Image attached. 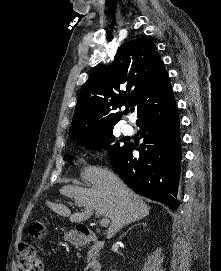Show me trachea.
I'll return each instance as SVG.
<instances>
[{
    "mask_svg": "<svg viewBox=\"0 0 221 271\" xmlns=\"http://www.w3.org/2000/svg\"><path fill=\"white\" fill-rule=\"evenodd\" d=\"M129 111L133 112L134 108H131L130 110H126V113H129Z\"/></svg>",
    "mask_w": 221,
    "mask_h": 271,
    "instance_id": "trachea-1",
    "label": "trachea"
}]
</instances>
